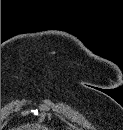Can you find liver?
<instances>
[{"mask_svg":"<svg viewBox=\"0 0 123 130\" xmlns=\"http://www.w3.org/2000/svg\"><path fill=\"white\" fill-rule=\"evenodd\" d=\"M26 128H30V126H26ZM31 128H32V130H33V128H34V130H45L44 127L37 126V125L36 126H32Z\"/></svg>","mask_w":123,"mask_h":130,"instance_id":"1","label":"liver"}]
</instances>
